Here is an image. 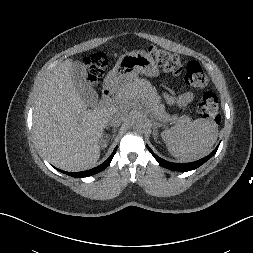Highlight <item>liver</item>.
Returning <instances> with one entry per match:
<instances>
[{
    "label": "liver",
    "mask_w": 253,
    "mask_h": 253,
    "mask_svg": "<svg viewBox=\"0 0 253 253\" xmlns=\"http://www.w3.org/2000/svg\"><path fill=\"white\" fill-rule=\"evenodd\" d=\"M73 61H63L41 88L33 109V131L44 156L56 167L82 171L100 157V143L108 117L114 109H126L132 101L146 100V87L126 83L124 96L108 107L87 105L75 89ZM87 106H91L90 109Z\"/></svg>",
    "instance_id": "1"
}]
</instances>
